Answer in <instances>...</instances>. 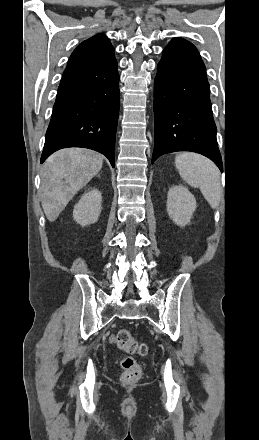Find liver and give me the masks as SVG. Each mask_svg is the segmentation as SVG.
Segmentation results:
<instances>
[{"label": "liver", "instance_id": "obj_1", "mask_svg": "<svg viewBox=\"0 0 259 440\" xmlns=\"http://www.w3.org/2000/svg\"><path fill=\"white\" fill-rule=\"evenodd\" d=\"M103 156L84 148H68L53 153L41 171L42 208L55 221L74 195L98 174Z\"/></svg>", "mask_w": 259, "mask_h": 440}]
</instances>
